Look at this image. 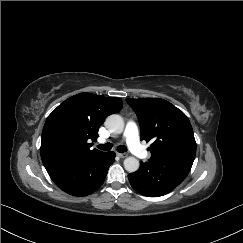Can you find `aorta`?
I'll return each instance as SVG.
<instances>
[{
  "label": "aorta",
  "mask_w": 243,
  "mask_h": 243,
  "mask_svg": "<svg viewBox=\"0 0 243 243\" xmlns=\"http://www.w3.org/2000/svg\"><path fill=\"white\" fill-rule=\"evenodd\" d=\"M105 127L114 134H120L124 129V120L118 114H112L108 116L105 120ZM139 160L135 157H127L124 160V168L129 173L136 172L139 169Z\"/></svg>",
  "instance_id": "1"
}]
</instances>
